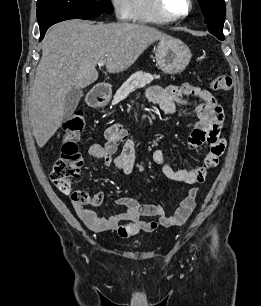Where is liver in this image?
Listing matches in <instances>:
<instances>
[{
  "label": "liver",
  "instance_id": "1",
  "mask_svg": "<svg viewBox=\"0 0 261 306\" xmlns=\"http://www.w3.org/2000/svg\"><path fill=\"white\" fill-rule=\"evenodd\" d=\"M169 36L133 23L68 20L53 25L42 43L30 93L29 118L37 145L42 148L62 124L64 98L98 79L96 65L105 60L109 73H122L155 41Z\"/></svg>",
  "mask_w": 261,
  "mask_h": 306
}]
</instances>
